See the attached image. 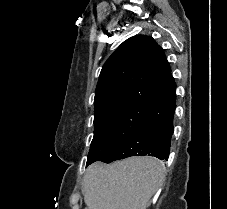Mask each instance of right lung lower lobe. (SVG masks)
<instances>
[{"label":"right lung lower lobe","instance_id":"obj_1","mask_svg":"<svg viewBox=\"0 0 227 209\" xmlns=\"http://www.w3.org/2000/svg\"><path fill=\"white\" fill-rule=\"evenodd\" d=\"M167 76L169 82L175 84L170 68ZM175 101L176 88L168 96L151 104L142 125L101 161L110 163L131 156H154L167 160L174 129Z\"/></svg>","mask_w":227,"mask_h":209}]
</instances>
